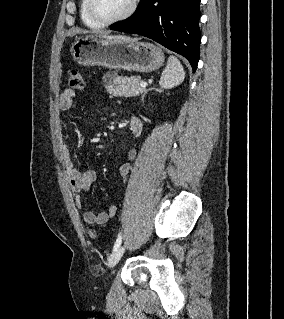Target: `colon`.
<instances>
[{"label":"colon","instance_id":"5ec220e1","mask_svg":"<svg viewBox=\"0 0 284 319\" xmlns=\"http://www.w3.org/2000/svg\"><path fill=\"white\" fill-rule=\"evenodd\" d=\"M66 84L68 87L73 89H81L84 86V80L81 72L76 68H70L66 74ZM88 235L91 239L96 238V232L93 229L88 231Z\"/></svg>","mask_w":284,"mask_h":319}]
</instances>
